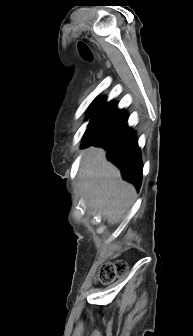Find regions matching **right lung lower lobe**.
<instances>
[{
    "mask_svg": "<svg viewBox=\"0 0 193 336\" xmlns=\"http://www.w3.org/2000/svg\"><path fill=\"white\" fill-rule=\"evenodd\" d=\"M100 146L108 159L119 167L123 179L134 183L139 190L142 181V162L135 133L127 126V113L114 109L103 132L85 141L82 148Z\"/></svg>",
    "mask_w": 193,
    "mask_h": 336,
    "instance_id": "1",
    "label": "right lung lower lobe"
}]
</instances>
